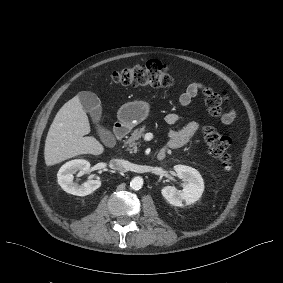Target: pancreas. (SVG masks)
I'll return each mask as SVG.
<instances>
[{
	"label": "pancreas",
	"mask_w": 283,
	"mask_h": 283,
	"mask_svg": "<svg viewBox=\"0 0 283 283\" xmlns=\"http://www.w3.org/2000/svg\"><path fill=\"white\" fill-rule=\"evenodd\" d=\"M145 128L137 129L134 132H132L131 137L126 141V143L131 147V151H137L136 145L133 144L134 141L139 140L144 136Z\"/></svg>",
	"instance_id": "obj_1"
}]
</instances>
